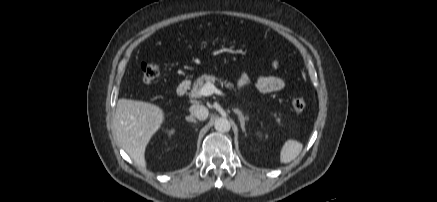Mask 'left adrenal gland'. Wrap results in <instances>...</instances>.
Returning <instances> with one entry per match:
<instances>
[{"mask_svg": "<svg viewBox=\"0 0 437 202\" xmlns=\"http://www.w3.org/2000/svg\"><path fill=\"white\" fill-rule=\"evenodd\" d=\"M233 111L238 115V119L240 121L241 129L244 133H246L245 130V121L247 120V116H244L243 113L238 109H233Z\"/></svg>", "mask_w": 437, "mask_h": 202, "instance_id": "obj_1", "label": "left adrenal gland"}]
</instances>
